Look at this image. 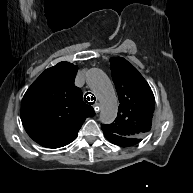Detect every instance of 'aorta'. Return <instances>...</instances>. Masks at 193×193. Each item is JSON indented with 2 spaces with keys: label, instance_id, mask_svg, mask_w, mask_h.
<instances>
[{
  "label": "aorta",
  "instance_id": "762f6f07",
  "mask_svg": "<svg viewBox=\"0 0 193 193\" xmlns=\"http://www.w3.org/2000/svg\"><path fill=\"white\" fill-rule=\"evenodd\" d=\"M87 84L101 103L100 121L112 123L118 112V100L108 76L100 69H91L86 78Z\"/></svg>",
  "mask_w": 193,
  "mask_h": 193
}]
</instances>
